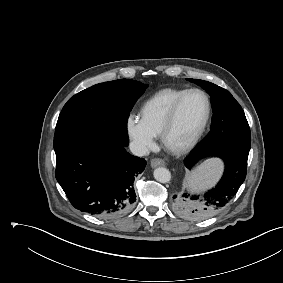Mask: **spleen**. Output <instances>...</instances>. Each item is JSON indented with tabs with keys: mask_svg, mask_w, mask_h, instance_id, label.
Wrapping results in <instances>:
<instances>
[{
	"mask_svg": "<svg viewBox=\"0 0 283 283\" xmlns=\"http://www.w3.org/2000/svg\"><path fill=\"white\" fill-rule=\"evenodd\" d=\"M221 171V163L217 159H210L201 164L193 177L187 180L189 188L201 190L215 183Z\"/></svg>",
	"mask_w": 283,
	"mask_h": 283,
	"instance_id": "3e777b00",
	"label": "spleen"
}]
</instances>
